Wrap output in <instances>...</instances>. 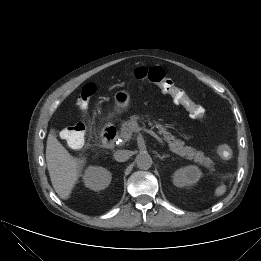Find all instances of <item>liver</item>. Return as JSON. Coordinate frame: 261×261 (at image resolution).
Returning a JSON list of instances; mask_svg holds the SVG:
<instances>
[{
    "label": "liver",
    "mask_w": 261,
    "mask_h": 261,
    "mask_svg": "<svg viewBox=\"0 0 261 261\" xmlns=\"http://www.w3.org/2000/svg\"><path fill=\"white\" fill-rule=\"evenodd\" d=\"M46 162L53 188L60 198L68 199L80 177L84 161L73 157L50 133L46 145Z\"/></svg>",
    "instance_id": "liver-1"
}]
</instances>
